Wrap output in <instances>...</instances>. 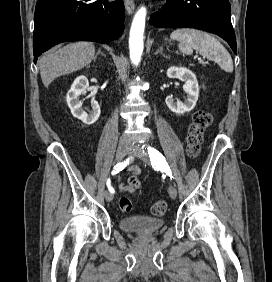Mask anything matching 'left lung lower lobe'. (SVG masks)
Masks as SVG:
<instances>
[{
  "label": "left lung lower lobe",
  "mask_w": 272,
  "mask_h": 282,
  "mask_svg": "<svg viewBox=\"0 0 272 282\" xmlns=\"http://www.w3.org/2000/svg\"><path fill=\"white\" fill-rule=\"evenodd\" d=\"M228 0H167L150 17L158 28H197L222 37L236 54V37L231 24Z\"/></svg>",
  "instance_id": "1"
}]
</instances>
